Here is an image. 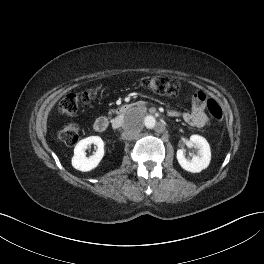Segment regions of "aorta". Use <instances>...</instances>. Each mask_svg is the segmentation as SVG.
<instances>
[{"instance_id": "aorta-1", "label": "aorta", "mask_w": 264, "mask_h": 264, "mask_svg": "<svg viewBox=\"0 0 264 264\" xmlns=\"http://www.w3.org/2000/svg\"><path fill=\"white\" fill-rule=\"evenodd\" d=\"M142 123H143L144 126H145L146 128H148V129H153V128H155L156 125H157V121H156V119H155L153 116H151V115L146 116V117L143 119Z\"/></svg>"}]
</instances>
